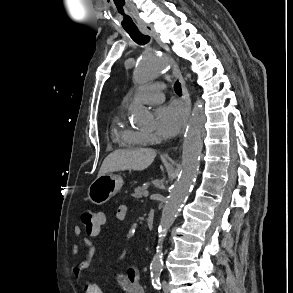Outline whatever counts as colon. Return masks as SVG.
I'll return each instance as SVG.
<instances>
[{"label":"colon","mask_w":293,"mask_h":293,"mask_svg":"<svg viewBox=\"0 0 293 293\" xmlns=\"http://www.w3.org/2000/svg\"><path fill=\"white\" fill-rule=\"evenodd\" d=\"M80 219L88 231H95L98 229V227L101 224V217L98 211H94L92 209H84L80 214ZM93 293H100V289L97 287H94L92 289Z\"/></svg>","instance_id":"5ec220e1"}]
</instances>
